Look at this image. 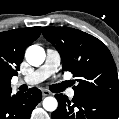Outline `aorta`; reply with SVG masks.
<instances>
[{
    "instance_id": "aorta-1",
    "label": "aorta",
    "mask_w": 119,
    "mask_h": 119,
    "mask_svg": "<svg viewBox=\"0 0 119 119\" xmlns=\"http://www.w3.org/2000/svg\"><path fill=\"white\" fill-rule=\"evenodd\" d=\"M25 57L27 62L32 66L41 65L46 57L45 50L38 45H31L27 48ZM58 102L54 97H46L43 100V108L47 111H55Z\"/></svg>"
}]
</instances>
